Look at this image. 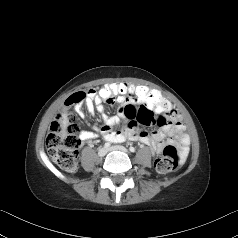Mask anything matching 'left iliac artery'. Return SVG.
Listing matches in <instances>:
<instances>
[{
    "label": "left iliac artery",
    "instance_id": "1",
    "mask_svg": "<svg viewBox=\"0 0 238 238\" xmlns=\"http://www.w3.org/2000/svg\"><path fill=\"white\" fill-rule=\"evenodd\" d=\"M129 150L133 153L136 151L134 147H130Z\"/></svg>",
    "mask_w": 238,
    "mask_h": 238
}]
</instances>
